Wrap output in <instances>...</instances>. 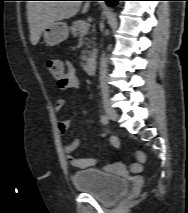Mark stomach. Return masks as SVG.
Masks as SVG:
<instances>
[{"label":"stomach","instance_id":"1","mask_svg":"<svg viewBox=\"0 0 188 213\" xmlns=\"http://www.w3.org/2000/svg\"><path fill=\"white\" fill-rule=\"evenodd\" d=\"M69 29L65 22L56 21L43 30V38L48 46H55L68 38Z\"/></svg>","mask_w":188,"mask_h":213}]
</instances>
